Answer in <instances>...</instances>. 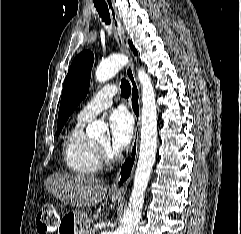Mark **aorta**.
Returning a JSON list of instances; mask_svg holds the SVG:
<instances>
[{
  "mask_svg": "<svg viewBox=\"0 0 241 234\" xmlns=\"http://www.w3.org/2000/svg\"><path fill=\"white\" fill-rule=\"evenodd\" d=\"M128 63V57L113 55L102 61L95 71L96 80L104 83L114 77ZM138 80L142 87V112L140 151L129 204L116 234H133L140 220L144 203V193L155 163L157 148V109L155 91L149 75L144 69L138 70ZM86 133L91 138L109 133L107 125L100 121L89 124Z\"/></svg>",
  "mask_w": 241,
  "mask_h": 234,
  "instance_id": "aorta-1",
  "label": "aorta"
}]
</instances>
